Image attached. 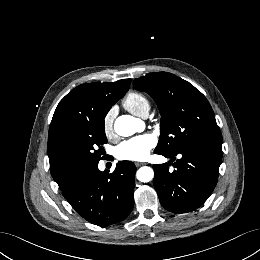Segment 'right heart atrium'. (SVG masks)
I'll list each match as a JSON object with an SVG mask.
<instances>
[{"label":"right heart atrium","instance_id":"right-heart-atrium-1","mask_svg":"<svg viewBox=\"0 0 260 260\" xmlns=\"http://www.w3.org/2000/svg\"><path fill=\"white\" fill-rule=\"evenodd\" d=\"M116 115L115 107L110 108L103 118V128L107 136H111L114 132L113 124Z\"/></svg>","mask_w":260,"mask_h":260}]
</instances>
